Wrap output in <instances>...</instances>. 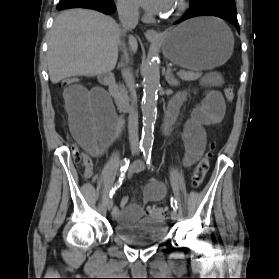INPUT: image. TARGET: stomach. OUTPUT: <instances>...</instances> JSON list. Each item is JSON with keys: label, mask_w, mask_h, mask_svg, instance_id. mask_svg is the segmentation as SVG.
I'll return each mask as SVG.
<instances>
[{"label": "stomach", "mask_w": 279, "mask_h": 279, "mask_svg": "<svg viewBox=\"0 0 279 279\" xmlns=\"http://www.w3.org/2000/svg\"><path fill=\"white\" fill-rule=\"evenodd\" d=\"M234 38L214 18H195L164 34V55L174 64L202 71L223 65L233 52Z\"/></svg>", "instance_id": "obj_1"}]
</instances>
